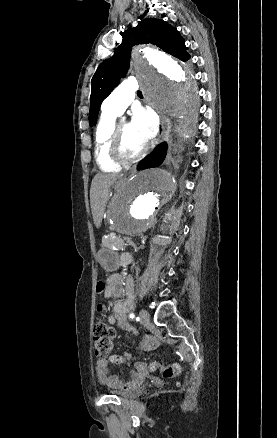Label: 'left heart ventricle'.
I'll return each mask as SVG.
<instances>
[{
	"mask_svg": "<svg viewBox=\"0 0 277 438\" xmlns=\"http://www.w3.org/2000/svg\"><path fill=\"white\" fill-rule=\"evenodd\" d=\"M121 135L123 141V149L127 156H136L143 150V146L135 135L130 124L126 122L122 124Z\"/></svg>",
	"mask_w": 277,
	"mask_h": 438,
	"instance_id": "1",
	"label": "left heart ventricle"
}]
</instances>
